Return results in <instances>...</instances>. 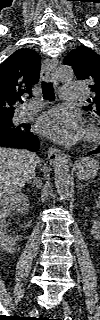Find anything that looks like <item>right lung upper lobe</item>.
I'll use <instances>...</instances> for the list:
<instances>
[{"mask_svg":"<svg viewBox=\"0 0 100 320\" xmlns=\"http://www.w3.org/2000/svg\"><path fill=\"white\" fill-rule=\"evenodd\" d=\"M40 56L31 49H19L0 65V119L13 117L14 105L31 89L40 75Z\"/></svg>","mask_w":100,"mask_h":320,"instance_id":"right-lung-upper-lobe-1","label":"right lung upper lobe"}]
</instances>
